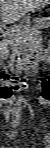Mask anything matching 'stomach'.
<instances>
[{
	"label": "stomach",
	"instance_id": "0dacf381",
	"mask_svg": "<svg viewBox=\"0 0 50 148\" xmlns=\"http://www.w3.org/2000/svg\"><path fill=\"white\" fill-rule=\"evenodd\" d=\"M35 27L38 29L50 26V6L45 4L38 10V16L34 19Z\"/></svg>",
	"mask_w": 50,
	"mask_h": 148
}]
</instances>
